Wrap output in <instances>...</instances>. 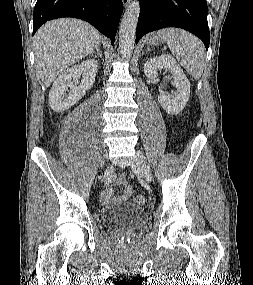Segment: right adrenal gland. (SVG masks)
I'll use <instances>...</instances> for the list:
<instances>
[{
	"instance_id": "right-adrenal-gland-1",
	"label": "right adrenal gland",
	"mask_w": 253,
	"mask_h": 285,
	"mask_svg": "<svg viewBox=\"0 0 253 285\" xmlns=\"http://www.w3.org/2000/svg\"><path fill=\"white\" fill-rule=\"evenodd\" d=\"M95 53H96L100 58L102 57V53H101V51H100L99 46H97V47L95 48V50L92 51L90 54L93 55V54H95Z\"/></svg>"
}]
</instances>
